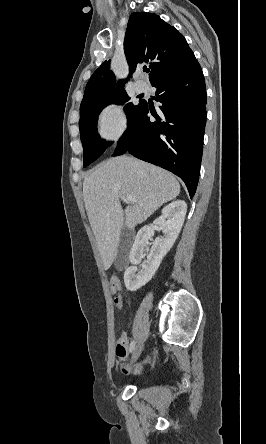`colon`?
Here are the masks:
<instances>
[{
  "label": "colon",
  "instance_id": "obj_1",
  "mask_svg": "<svg viewBox=\"0 0 266 444\" xmlns=\"http://www.w3.org/2000/svg\"><path fill=\"white\" fill-rule=\"evenodd\" d=\"M115 304L117 305V306H121V304H122V300H121V297H120V295H116V297H115Z\"/></svg>",
  "mask_w": 266,
  "mask_h": 444
}]
</instances>
